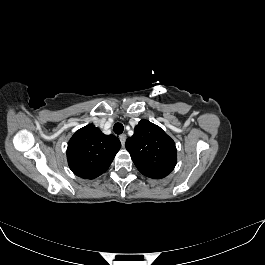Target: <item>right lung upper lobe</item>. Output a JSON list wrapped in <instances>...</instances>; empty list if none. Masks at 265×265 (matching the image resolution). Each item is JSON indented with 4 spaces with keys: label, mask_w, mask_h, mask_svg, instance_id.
I'll use <instances>...</instances> for the list:
<instances>
[{
    "label": "right lung upper lobe",
    "mask_w": 265,
    "mask_h": 265,
    "mask_svg": "<svg viewBox=\"0 0 265 265\" xmlns=\"http://www.w3.org/2000/svg\"><path fill=\"white\" fill-rule=\"evenodd\" d=\"M120 147L116 136L105 135L99 128L88 124L76 131L69 140V167L81 178H96L109 168Z\"/></svg>",
    "instance_id": "cb5924a9"
}]
</instances>
